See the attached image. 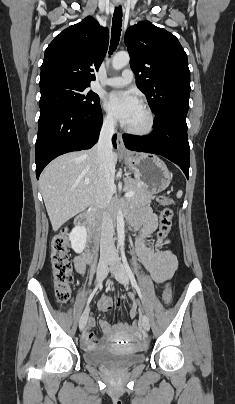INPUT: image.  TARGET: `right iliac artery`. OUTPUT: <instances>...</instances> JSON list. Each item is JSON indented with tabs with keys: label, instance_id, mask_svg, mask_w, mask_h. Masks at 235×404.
Here are the masks:
<instances>
[{
	"label": "right iliac artery",
	"instance_id": "82829eb1",
	"mask_svg": "<svg viewBox=\"0 0 235 404\" xmlns=\"http://www.w3.org/2000/svg\"><path fill=\"white\" fill-rule=\"evenodd\" d=\"M101 285H102V283L100 282V283L96 286V288L93 290V292L90 294V296H89V298H88V301H87V306H86V308H85V311H84L82 317L85 316V314L88 315V311H89L88 305H89V303L91 302V300H92V298L94 297V295L97 293L98 288L101 287Z\"/></svg>",
	"mask_w": 235,
	"mask_h": 404
}]
</instances>
